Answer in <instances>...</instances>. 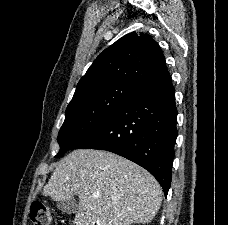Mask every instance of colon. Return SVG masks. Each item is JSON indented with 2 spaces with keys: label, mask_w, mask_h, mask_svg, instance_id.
<instances>
[{
  "label": "colon",
  "mask_w": 228,
  "mask_h": 225,
  "mask_svg": "<svg viewBox=\"0 0 228 225\" xmlns=\"http://www.w3.org/2000/svg\"><path fill=\"white\" fill-rule=\"evenodd\" d=\"M30 220L33 225H53V214L41 201H34L30 209Z\"/></svg>",
  "instance_id": "obj_1"
}]
</instances>
